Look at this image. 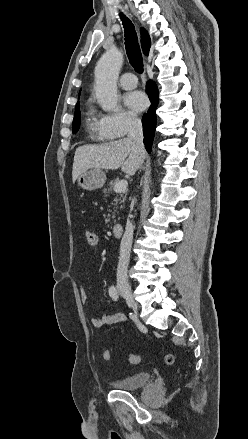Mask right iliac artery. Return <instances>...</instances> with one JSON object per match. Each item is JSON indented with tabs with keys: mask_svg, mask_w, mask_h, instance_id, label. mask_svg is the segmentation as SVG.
Returning a JSON list of instances; mask_svg holds the SVG:
<instances>
[{
	"mask_svg": "<svg viewBox=\"0 0 248 439\" xmlns=\"http://www.w3.org/2000/svg\"><path fill=\"white\" fill-rule=\"evenodd\" d=\"M109 295L113 300H115V301L118 300L119 294H118V291H117L115 286H111L109 288Z\"/></svg>",
	"mask_w": 248,
	"mask_h": 439,
	"instance_id": "1",
	"label": "right iliac artery"
}]
</instances>
